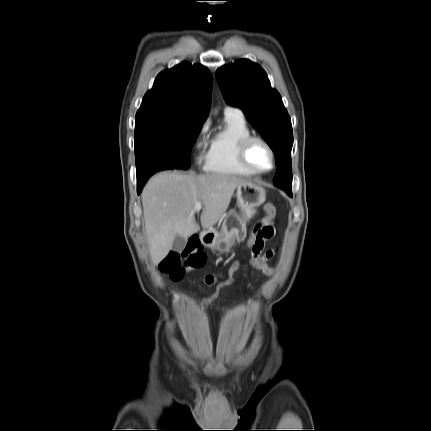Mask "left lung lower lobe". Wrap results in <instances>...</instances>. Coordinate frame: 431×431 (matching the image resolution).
Returning a JSON list of instances; mask_svg holds the SVG:
<instances>
[{
    "label": "left lung lower lobe",
    "instance_id": "left-lung-lower-lobe-1",
    "mask_svg": "<svg viewBox=\"0 0 431 431\" xmlns=\"http://www.w3.org/2000/svg\"><path fill=\"white\" fill-rule=\"evenodd\" d=\"M286 193H287L289 196H291V195H292V194H291V192H287V191H286Z\"/></svg>",
    "mask_w": 431,
    "mask_h": 431
}]
</instances>
